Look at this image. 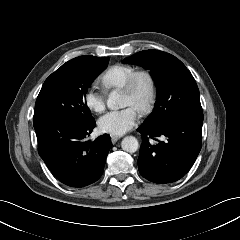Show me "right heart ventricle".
<instances>
[{"instance_id": "e07e8e85", "label": "right heart ventricle", "mask_w": 240, "mask_h": 240, "mask_svg": "<svg viewBox=\"0 0 240 240\" xmlns=\"http://www.w3.org/2000/svg\"><path fill=\"white\" fill-rule=\"evenodd\" d=\"M136 70L135 67L117 63L109 66L100 76L102 86L108 90H119L125 85L129 76Z\"/></svg>"}]
</instances>
